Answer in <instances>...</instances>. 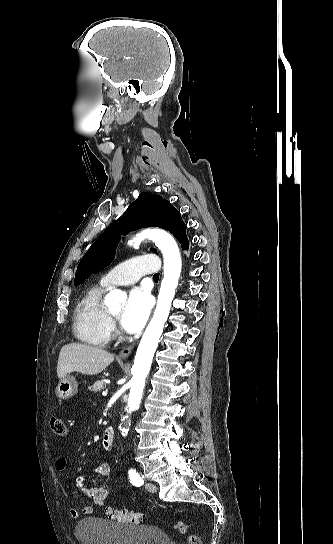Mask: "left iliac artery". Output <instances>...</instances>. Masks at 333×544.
Returning a JSON list of instances; mask_svg holds the SVG:
<instances>
[{
	"instance_id": "left-iliac-artery-1",
	"label": "left iliac artery",
	"mask_w": 333,
	"mask_h": 544,
	"mask_svg": "<svg viewBox=\"0 0 333 544\" xmlns=\"http://www.w3.org/2000/svg\"><path fill=\"white\" fill-rule=\"evenodd\" d=\"M128 477L130 483L136 487H140L144 484L143 477L135 469H130L128 471Z\"/></svg>"
}]
</instances>
